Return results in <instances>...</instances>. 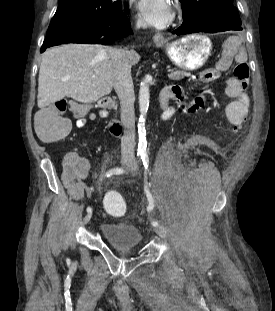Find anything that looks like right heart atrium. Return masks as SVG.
<instances>
[{
    "label": "right heart atrium",
    "instance_id": "1",
    "mask_svg": "<svg viewBox=\"0 0 275 311\" xmlns=\"http://www.w3.org/2000/svg\"><path fill=\"white\" fill-rule=\"evenodd\" d=\"M140 24H141L140 20H137V21H136V25L139 26Z\"/></svg>",
    "mask_w": 275,
    "mask_h": 311
}]
</instances>
